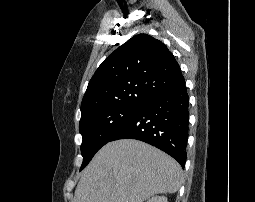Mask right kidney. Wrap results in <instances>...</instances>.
Returning a JSON list of instances; mask_svg holds the SVG:
<instances>
[{
	"label": "right kidney",
	"mask_w": 255,
	"mask_h": 202,
	"mask_svg": "<svg viewBox=\"0 0 255 202\" xmlns=\"http://www.w3.org/2000/svg\"><path fill=\"white\" fill-rule=\"evenodd\" d=\"M147 202H168V200L164 196H155L149 199Z\"/></svg>",
	"instance_id": "obj_1"
}]
</instances>
